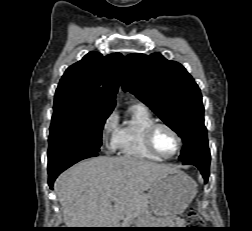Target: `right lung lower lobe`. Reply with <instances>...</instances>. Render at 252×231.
<instances>
[{"label": "right lung lower lobe", "instance_id": "98d812e1", "mask_svg": "<svg viewBox=\"0 0 252 231\" xmlns=\"http://www.w3.org/2000/svg\"><path fill=\"white\" fill-rule=\"evenodd\" d=\"M98 152H77L60 156L48 161L49 186L52 188L57 176L80 160L97 156Z\"/></svg>", "mask_w": 252, "mask_h": 231}]
</instances>
